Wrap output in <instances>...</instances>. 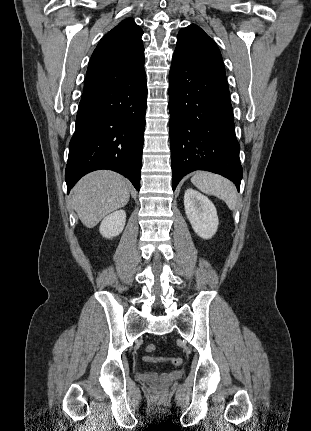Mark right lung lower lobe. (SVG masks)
Segmentation results:
<instances>
[{
    "label": "right lung lower lobe",
    "mask_w": 311,
    "mask_h": 431,
    "mask_svg": "<svg viewBox=\"0 0 311 431\" xmlns=\"http://www.w3.org/2000/svg\"><path fill=\"white\" fill-rule=\"evenodd\" d=\"M146 99L144 67L126 80L84 90L69 143L68 193L98 169L114 170L140 190Z\"/></svg>",
    "instance_id": "right-lung-lower-lobe-1"
}]
</instances>
